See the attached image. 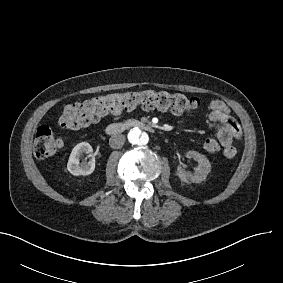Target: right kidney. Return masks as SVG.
<instances>
[{
  "instance_id": "right-kidney-1",
  "label": "right kidney",
  "mask_w": 283,
  "mask_h": 283,
  "mask_svg": "<svg viewBox=\"0 0 283 283\" xmlns=\"http://www.w3.org/2000/svg\"><path fill=\"white\" fill-rule=\"evenodd\" d=\"M84 153H89V161L80 163V158ZM67 168L74 175H89L94 171L95 156L93 154V148L88 142H81L72 149Z\"/></svg>"
}]
</instances>
